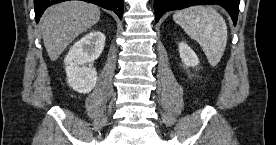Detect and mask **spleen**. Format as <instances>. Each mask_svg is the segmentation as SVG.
I'll list each match as a JSON object with an SVG mask.
<instances>
[{
    "label": "spleen",
    "instance_id": "3e777b00",
    "mask_svg": "<svg viewBox=\"0 0 276 145\" xmlns=\"http://www.w3.org/2000/svg\"><path fill=\"white\" fill-rule=\"evenodd\" d=\"M173 20L199 43L210 65L216 66L220 62L227 43V25L214 8L188 7L175 12Z\"/></svg>",
    "mask_w": 276,
    "mask_h": 145
}]
</instances>
